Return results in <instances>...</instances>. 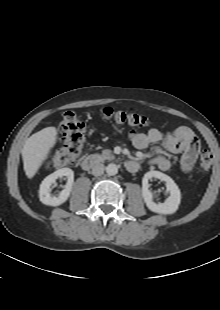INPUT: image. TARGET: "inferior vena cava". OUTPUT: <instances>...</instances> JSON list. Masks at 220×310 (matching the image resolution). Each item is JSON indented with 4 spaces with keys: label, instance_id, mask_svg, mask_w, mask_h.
Segmentation results:
<instances>
[{
    "label": "inferior vena cava",
    "instance_id": "602c4592",
    "mask_svg": "<svg viewBox=\"0 0 220 310\" xmlns=\"http://www.w3.org/2000/svg\"><path fill=\"white\" fill-rule=\"evenodd\" d=\"M105 166L102 163H96L92 167V175L101 176L104 173Z\"/></svg>",
    "mask_w": 220,
    "mask_h": 310
}]
</instances>
